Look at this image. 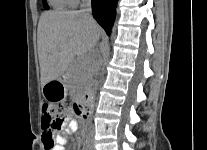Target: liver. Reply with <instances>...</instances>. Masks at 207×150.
<instances>
[{
  "mask_svg": "<svg viewBox=\"0 0 207 150\" xmlns=\"http://www.w3.org/2000/svg\"><path fill=\"white\" fill-rule=\"evenodd\" d=\"M100 33L95 20L80 11L44 12L37 30L41 86L64 75L76 56L86 57Z\"/></svg>",
  "mask_w": 207,
  "mask_h": 150,
  "instance_id": "obj_1",
  "label": "liver"
}]
</instances>
